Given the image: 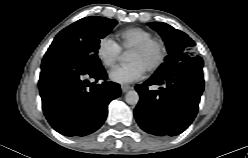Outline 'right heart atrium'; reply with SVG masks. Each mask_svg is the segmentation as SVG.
Listing matches in <instances>:
<instances>
[{
    "mask_svg": "<svg viewBox=\"0 0 248 158\" xmlns=\"http://www.w3.org/2000/svg\"><path fill=\"white\" fill-rule=\"evenodd\" d=\"M96 54L104 67L112 68L120 59L121 49L110 38L102 37L97 43Z\"/></svg>",
    "mask_w": 248,
    "mask_h": 158,
    "instance_id": "1",
    "label": "right heart atrium"
}]
</instances>
